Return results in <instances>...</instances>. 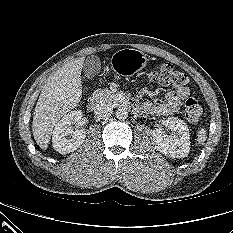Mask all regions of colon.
I'll list each match as a JSON object with an SVG mask.
<instances>
[{
    "label": "colon",
    "mask_w": 233,
    "mask_h": 233,
    "mask_svg": "<svg viewBox=\"0 0 233 233\" xmlns=\"http://www.w3.org/2000/svg\"><path fill=\"white\" fill-rule=\"evenodd\" d=\"M149 79L152 82L172 87H183L188 83L187 75L177 70L170 63L156 65L150 72ZM202 113L203 109L195 98L187 99L184 106V116L188 122H199Z\"/></svg>",
    "instance_id": "obj_1"
}]
</instances>
